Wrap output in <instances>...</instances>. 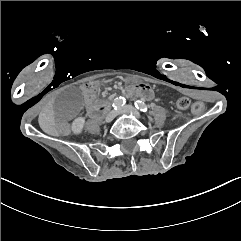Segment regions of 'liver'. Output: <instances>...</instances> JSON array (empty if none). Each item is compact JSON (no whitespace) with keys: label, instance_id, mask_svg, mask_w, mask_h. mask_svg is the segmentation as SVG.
Returning <instances> with one entry per match:
<instances>
[{"label":"liver","instance_id":"liver-1","mask_svg":"<svg viewBox=\"0 0 241 241\" xmlns=\"http://www.w3.org/2000/svg\"><path fill=\"white\" fill-rule=\"evenodd\" d=\"M39 125L45 133L52 136H59V133L55 128V119L52 110L47 109L40 114Z\"/></svg>","mask_w":241,"mask_h":241}]
</instances>
